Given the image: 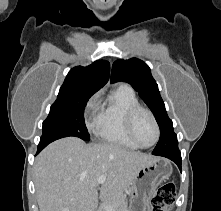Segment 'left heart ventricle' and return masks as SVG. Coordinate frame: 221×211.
<instances>
[{"label": "left heart ventricle", "instance_id": "left-heart-ventricle-1", "mask_svg": "<svg viewBox=\"0 0 221 211\" xmlns=\"http://www.w3.org/2000/svg\"><path fill=\"white\" fill-rule=\"evenodd\" d=\"M135 135L143 145H150L154 142L156 131L148 114L141 113L138 115L135 122Z\"/></svg>", "mask_w": 221, "mask_h": 211}]
</instances>
